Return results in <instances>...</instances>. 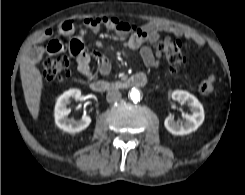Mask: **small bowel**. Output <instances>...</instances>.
<instances>
[{
	"label": "small bowel",
	"mask_w": 245,
	"mask_h": 195,
	"mask_svg": "<svg viewBox=\"0 0 245 195\" xmlns=\"http://www.w3.org/2000/svg\"><path fill=\"white\" fill-rule=\"evenodd\" d=\"M85 25L93 31L106 28L123 39L128 36L125 45L131 50H138L144 64L149 68L158 67L160 64L161 51L158 49L153 51L150 45L160 40L161 31L184 37L198 46H204L206 44L205 38L193 30L164 25L157 22H149L141 27H137L128 21L116 17H103L87 19L85 20ZM58 31L62 35H71L76 31V26L72 21H64L59 24ZM52 34L51 29L45 30L32 45L29 57L33 62L38 61L43 56L44 52L56 55L62 51L63 44L61 41L50 40ZM45 42H48L46 46H44ZM69 50L76 58L79 73L87 79L91 80L94 78V74L91 70V62L93 60L98 63L99 71L102 75H108L110 73L111 64L108 59L99 53L90 54L86 52L80 38L75 37L70 41ZM215 79V75H210L200 84L199 91L202 94L212 92Z\"/></svg>",
	"instance_id": "obj_1"
}]
</instances>
